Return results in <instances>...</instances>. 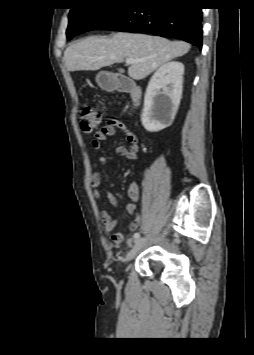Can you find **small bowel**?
I'll use <instances>...</instances> for the list:
<instances>
[{
  "label": "small bowel",
  "mask_w": 254,
  "mask_h": 355,
  "mask_svg": "<svg viewBox=\"0 0 254 355\" xmlns=\"http://www.w3.org/2000/svg\"><path fill=\"white\" fill-rule=\"evenodd\" d=\"M117 130L122 131L127 139L128 145H120L116 148V153L120 157H124L129 160H135L138 153V138L137 136L128 129V127L119 120L111 119L104 127L96 132L93 140L91 141V146L94 150L99 151L102 148V142L106 141L109 137L113 136ZM106 164L105 157H98L94 163L95 172L91 175L90 185L93 189V194L96 199L101 196L100 186H101V175L97 171L99 168ZM104 193L109 200V202L116 208L126 211L128 214L134 217L133 221L129 224V233L135 232L139 229L141 225V216L136 210V203L139 200V187L136 183H132L128 189V196L130 202L123 205L121 200L111 191L104 190ZM100 218L103 223L106 233H108L113 240V242L120 244L126 237V233L117 232L118 219L113 218L107 210H102L100 213Z\"/></svg>",
  "instance_id": "obj_1"
}]
</instances>
